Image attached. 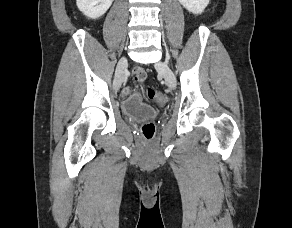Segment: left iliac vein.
Wrapping results in <instances>:
<instances>
[{"label": "left iliac vein", "mask_w": 292, "mask_h": 228, "mask_svg": "<svg viewBox=\"0 0 292 228\" xmlns=\"http://www.w3.org/2000/svg\"><path fill=\"white\" fill-rule=\"evenodd\" d=\"M157 71L164 77L167 85L171 89L176 88V77L165 62H158L155 64Z\"/></svg>", "instance_id": "4c4485c4"}]
</instances>
